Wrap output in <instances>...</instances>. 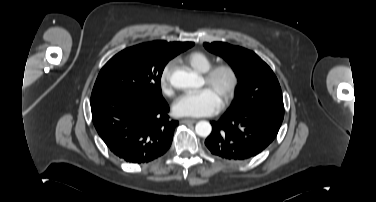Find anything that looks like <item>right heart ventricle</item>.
<instances>
[{
    "mask_svg": "<svg viewBox=\"0 0 376 202\" xmlns=\"http://www.w3.org/2000/svg\"><path fill=\"white\" fill-rule=\"evenodd\" d=\"M181 62L198 73H205L212 67L213 60L203 51H193L181 58Z\"/></svg>",
    "mask_w": 376,
    "mask_h": 202,
    "instance_id": "e07e8e85",
    "label": "right heart ventricle"
}]
</instances>
